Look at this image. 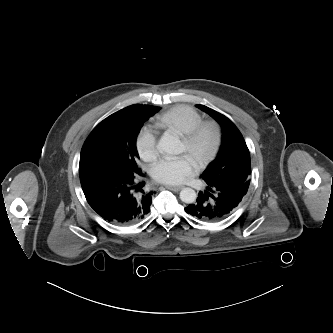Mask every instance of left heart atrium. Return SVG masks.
I'll return each instance as SVG.
<instances>
[{"label": "left heart atrium", "instance_id": "obj_1", "mask_svg": "<svg viewBox=\"0 0 333 333\" xmlns=\"http://www.w3.org/2000/svg\"><path fill=\"white\" fill-rule=\"evenodd\" d=\"M196 164L187 155L166 157L155 163L151 169L154 180L167 185H178L196 172Z\"/></svg>", "mask_w": 333, "mask_h": 333}]
</instances>
